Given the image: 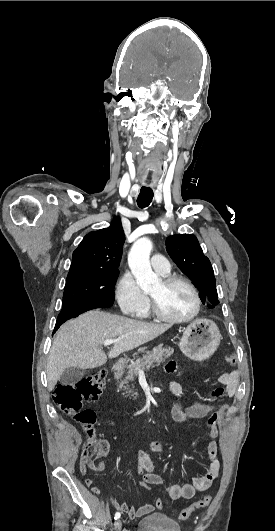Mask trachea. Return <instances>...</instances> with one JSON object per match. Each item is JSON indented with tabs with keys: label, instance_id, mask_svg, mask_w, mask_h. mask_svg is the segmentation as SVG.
<instances>
[{
	"label": "trachea",
	"instance_id": "obj_1",
	"mask_svg": "<svg viewBox=\"0 0 275 531\" xmlns=\"http://www.w3.org/2000/svg\"><path fill=\"white\" fill-rule=\"evenodd\" d=\"M154 193L150 187L142 186L139 196L137 198V204L140 208H146L152 202Z\"/></svg>",
	"mask_w": 275,
	"mask_h": 531
}]
</instances>
